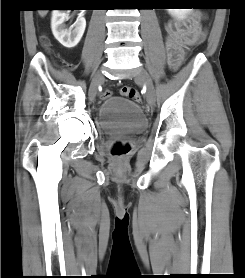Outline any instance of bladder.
Wrapping results in <instances>:
<instances>
[{"instance_id":"bladder-1","label":"bladder","mask_w":245,"mask_h":278,"mask_svg":"<svg viewBox=\"0 0 245 278\" xmlns=\"http://www.w3.org/2000/svg\"><path fill=\"white\" fill-rule=\"evenodd\" d=\"M98 124L104 134H136L147 127L140 106L127 98L111 96L101 103Z\"/></svg>"}]
</instances>
